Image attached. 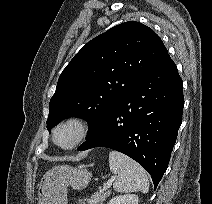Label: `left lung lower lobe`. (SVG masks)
Listing matches in <instances>:
<instances>
[{
    "mask_svg": "<svg viewBox=\"0 0 212 204\" xmlns=\"http://www.w3.org/2000/svg\"><path fill=\"white\" fill-rule=\"evenodd\" d=\"M183 83L169 54L104 116L78 148L107 147L137 161L156 188L182 122Z\"/></svg>",
    "mask_w": 212,
    "mask_h": 204,
    "instance_id": "1",
    "label": "left lung lower lobe"
}]
</instances>
